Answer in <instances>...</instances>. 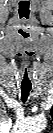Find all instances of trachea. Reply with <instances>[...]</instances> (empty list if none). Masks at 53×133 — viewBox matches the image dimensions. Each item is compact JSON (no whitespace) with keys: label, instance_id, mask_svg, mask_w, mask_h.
I'll use <instances>...</instances> for the list:
<instances>
[{"label":"trachea","instance_id":"trachea-1","mask_svg":"<svg viewBox=\"0 0 53 133\" xmlns=\"http://www.w3.org/2000/svg\"><path fill=\"white\" fill-rule=\"evenodd\" d=\"M31 88H21V98L25 102L29 96Z\"/></svg>","mask_w":53,"mask_h":133}]
</instances>
